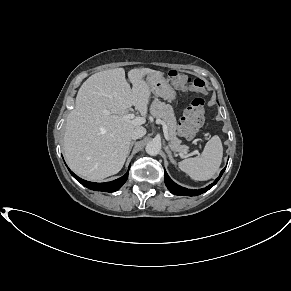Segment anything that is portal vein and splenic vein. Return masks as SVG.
<instances>
[{
	"label": "portal vein and splenic vein",
	"instance_id": "portal-vein-and-splenic-vein-1",
	"mask_svg": "<svg viewBox=\"0 0 291 291\" xmlns=\"http://www.w3.org/2000/svg\"><path fill=\"white\" fill-rule=\"evenodd\" d=\"M106 113H108V112H106ZM124 118L126 120H131L132 119V121H134L135 123H139V124H144L145 123V120L142 117L135 118V115L133 113L125 115ZM156 122H157V124H161L162 125L165 139L169 142V146L171 147V149L174 150V147L170 144V139H169V135H168V127H167L166 123L161 119H157ZM187 151H188V149H185L183 151H177V152H179V154L181 156H183V153H186ZM196 154H199V152L197 150L192 152V153H190V154H188V156H193V155H196Z\"/></svg>",
	"mask_w": 291,
	"mask_h": 291
}]
</instances>
